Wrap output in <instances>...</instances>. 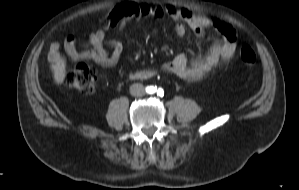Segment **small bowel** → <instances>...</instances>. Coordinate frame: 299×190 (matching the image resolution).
Returning <instances> with one entry per match:
<instances>
[{
    "mask_svg": "<svg viewBox=\"0 0 299 190\" xmlns=\"http://www.w3.org/2000/svg\"><path fill=\"white\" fill-rule=\"evenodd\" d=\"M164 14H168L176 22L175 33L178 38L185 36L187 27L197 34H202L205 27H211L220 33L222 40L214 42L205 56L193 61H189L187 55L180 52L170 61L162 63L159 67L161 70L187 81H197L214 72L233 56L236 49V33L231 26L205 16L195 15L187 8L124 1L114 5L107 12L108 25L91 33L88 44L82 49L78 48L73 36L66 38L63 47L58 42L52 43L49 48V63L53 65L59 60L63 48L72 60H90L104 67L114 66L123 53V44L118 39L108 38V31L113 28L122 31L130 21L142 16L149 15L157 18ZM105 44L111 46L110 53L106 51Z\"/></svg>",
    "mask_w": 299,
    "mask_h": 190,
    "instance_id": "1",
    "label": "small bowel"
}]
</instances>
